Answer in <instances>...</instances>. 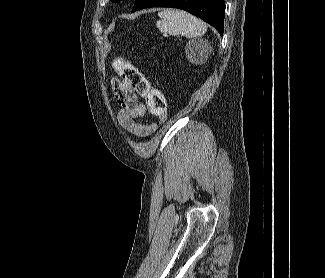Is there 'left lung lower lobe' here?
Returning a JSON list of instances; mask_svg holds the SVG:
<instances>
[{
  "instance_id": "1",
  "label": "left lung lower lobe",
  "mask_w": 325,
  "mask_h": 278,
  "mask_svg": "<svg viewBox=\"0 0 325 278\" xmlns=\"http://www.w3.org/2000/svg\"><path fill=\"white\" fill-rule=\"evenodd\" d=\"M149 7H172L186 10L214 26L223 35L224 0H135L132 12Z\"/></svg>"
}]
</instances>
